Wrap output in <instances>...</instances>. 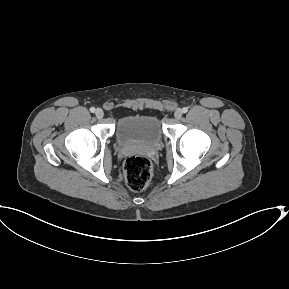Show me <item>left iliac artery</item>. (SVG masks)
<instances>
[{
    "instance_id": "left-iliac-artery-1",
    "label": "left iliac artery",
    "mask_w": 289,
    "mask_h": 289,
    "mask_svg": "<svg viewBox=\"0 0 289 289\" xmlns=\"http://www.w3.org/2000/svg\"><path fill=\"white\" fill-rule=\"evenodd\" d=\"M187 111H188V108L187 107H183L182 112L186 113Z\"/></svg>"
}]
</instances>
